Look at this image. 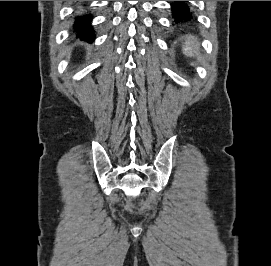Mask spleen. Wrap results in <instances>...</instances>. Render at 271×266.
I'll return each instance as SVG.
<instances>
[{"label": "spleen", "instance_id": "spleen-1", "mask_svg": "<svg viewBox=\"0 0 271 266\" xmlns=\"http://www.w3.org/2000/svg\"><path fill=\"white\" fill-rule=\"evenodd\" d=\"M199 43L193 36H187L183 45V54L193 57L198 52Z\"/></svg>", "mask_w": 271, "mask_h": 266}]
</instances>
